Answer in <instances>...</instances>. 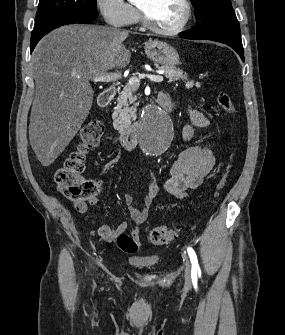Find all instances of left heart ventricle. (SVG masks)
<instances>
[{
	"label": "left heart ventricle",
	"mask_w": 285,
	"mask_h": 335,
	"mask_svg": "<svg viewBox=\"0 0 285 335\" xmlns=\"http://www.w3.org/2000/svg\"><path fill=\"white\" fill-rule=\"evenodd\" d=\"M145 2L151 22L159 28H175L185 17V9L178 1Z\"/></svg>",
	"instance_id": "b2bd125f"
}]
</instances>
